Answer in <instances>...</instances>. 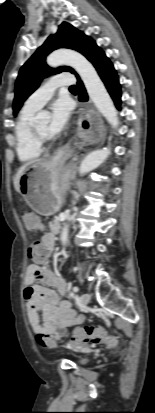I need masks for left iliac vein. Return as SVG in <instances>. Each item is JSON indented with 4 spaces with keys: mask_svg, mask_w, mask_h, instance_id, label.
<instances>
[{
    "mask_svg": "<svg viewBox=\"0 0 155 413\" xmlns=\"http://www.w3.org/2000/svg\"><path fill=\"white\" fill-rule=\"evenodd\" d=\"M90 294L89 293H84L82 294L81 298H80V303L82 305V307H86L89 302H90Z\"/></svg>",
    "mask_w": 155,
    "mask_h": 413,
    "instance_id": "obj_1",
    "label": "left iliac vein"
}]
</instances>
